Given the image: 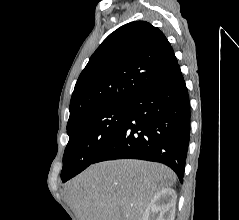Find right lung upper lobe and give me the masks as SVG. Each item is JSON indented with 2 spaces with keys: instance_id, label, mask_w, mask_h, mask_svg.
<instances>
[{
  "instance_id": "1",
  "label": "right lung upper lobe",
  "mask_w": 239,
  "mask_h": 220,
  "mask_svg": "<svg viewBox=\"0 0 239 220\" xmlns=\"http://www.w3.org/2000/svg\"><path fill=\"white\" fill-rule=\"evenodd\" d=\"M177 65L164 34L145 21L111 33L80 74L70 102L68 124L96 110L129 103Z\"/></svg>"
}]
</instances>
